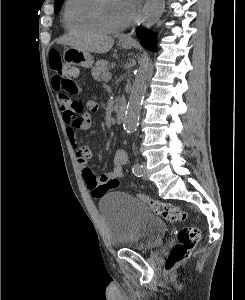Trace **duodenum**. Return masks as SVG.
Segmentation results:
<instances>
[{"instance_id": "1", "label": "duodenum", "mask_w": 245, "mask_h": 300, "mask_svg": "<svg viewBox=\"0 0 245 300\" xmlns=\"http://www.w3.org/2000/svg\"><path fill=\"white\" fill-rule=\"evenodd\" d=\"M124 115H125V107L124 104L120 101L117 109H116V122L117 124H122L124 121Z\"/></svg>"}]
</instances>
